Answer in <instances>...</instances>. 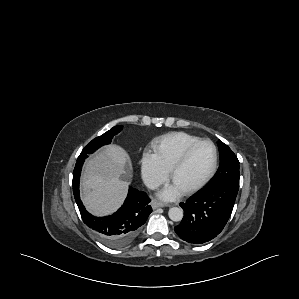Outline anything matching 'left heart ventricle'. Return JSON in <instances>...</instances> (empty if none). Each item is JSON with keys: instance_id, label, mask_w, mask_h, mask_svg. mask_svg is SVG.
Masks as SVG:
<instances>
[{"instance_id": "obj_1", "label": "left heart ventricle", "mask_w": 299, "mask_h": 299, "mask_svg": "<svg viewBox=\"0 0 299 299\" xmlns=\"http://www.w3.org/2000/svg\"><path fill=\"white\" fill-rule=\"evenodd\" d=\"M214 161L213 147L204 143L190 155L185 165L176 173L173 183L182 191L200 182L210 171Z\"/></svg>"}]
</instances>
